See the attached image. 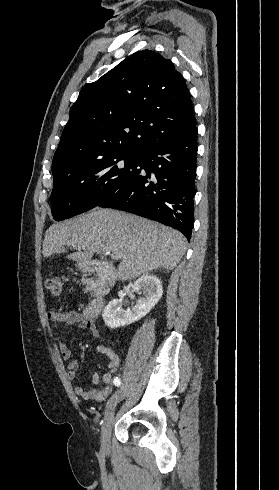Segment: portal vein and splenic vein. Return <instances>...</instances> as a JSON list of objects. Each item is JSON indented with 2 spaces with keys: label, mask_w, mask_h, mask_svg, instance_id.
<instances>
[{
  "label": "portal vein and splenic vein",
  "mask_w": 279,
  "mask_h": 490,
  "mask_svg": "<svg viewBox=\"0 0 279 490\" xmlns=\"http://www.w3.org/2000/svg\"><path fill=\"white\" fill-rule=\"evenodd\" d=\"M105 256H108V252H107V254H105ZM112 258H113V256H112ZM115 260H116V258H115Z\"/></svg>",
  "instance_id": "portal-vein-and-splenic-vein-1"
}]
</instances>
